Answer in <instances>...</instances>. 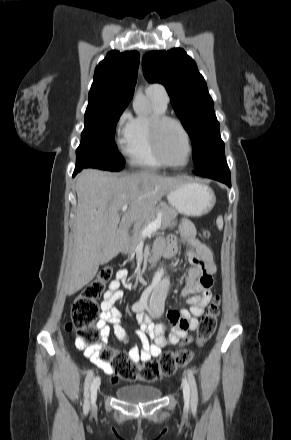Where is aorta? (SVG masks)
Instances as JSON below:
<instances>
[{
	"label": "aorta",
	"instance_id": "1",
	"mask_svg": "<svg viewBox=\"0 0 291 440\" xmlns=\"http://www.w3.org/2000/svg\"><path fill=\"white\" fill-rule=\"evenodd\" d=\"M133 109L137 114H145L149 110V103L141 90L135 96L133 102ZM169 287V281L166 278H161L153 283V290L150 297V302L153 304L156 301H164Z\"/></svg>",
	"mask_w": 291,
	"mask_h": 440
}]
</instances>
